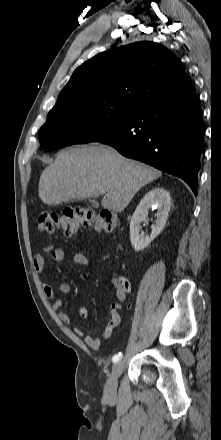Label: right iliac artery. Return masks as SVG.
Segmentation results:
<instances>
[{
  "label": "right iliac artery",
  "mask_w": 221,
  "mask_h": 440,
  "mask_svg": "<svg viewBox=\"0 0 221 440\" xmlns=\"http://www.w3.org/2000/svg\"><path fill=\"white\" fill-rule=\"evenodd\" d=\"M121 358H122V354L119 353V354L114 355L112 361H113L114 363H116V362L120 361Z\"/></svg>",
  "instance_id": "obj_1"
}]
</instances>
